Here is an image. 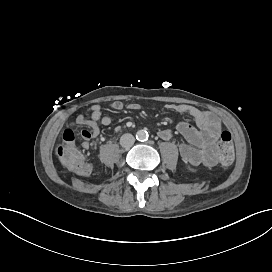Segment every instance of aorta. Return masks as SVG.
Wrapping results in <instances>:
<instances>
[{"label": "aorta", "instance_id": "aorta-1", "mask_svg": "<svg viewBox=\"0 0 272 272\" xmlns=\"http://www.w3.org/2000/svg\"><path fill=\"white\" fill-rule=\"evenodd\" d=\"M136 139L138 141H146L148 139V132L145 130H139L136 133Z\"/></svg>", "mask_w": 272, "mask_h": 272}]
</instances>
